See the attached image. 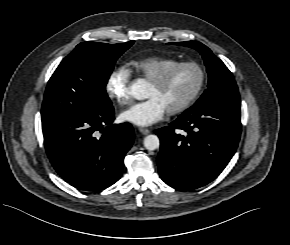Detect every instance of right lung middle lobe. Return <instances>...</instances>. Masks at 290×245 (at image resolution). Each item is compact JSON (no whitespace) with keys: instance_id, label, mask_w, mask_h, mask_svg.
Returning <instances> with one entry per match:
<instances>
[{"instance_id":"right-lung-middle-lobe-1","label":"right lung middle lobe","mask_w":290,"mask_h":245,"mask_svg":"<svg viewBox=\"0 0 290 245\" xmlns=\"http://www.w3.org/2000/svg\"><path fill=\"white\" fill-rule=\"evenodd\" d=\"M134 41L120 44L83 42L59 64L43 100L42 117L102 111L112 107L105 87L116 60Z\"/></svg>"}]
</instances>
